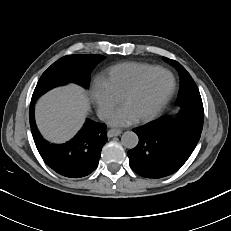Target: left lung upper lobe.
Masks as SVG:
<instances>
[{"label": "left lung upper lobe", "instance_id": "5c2ea615", "mask_svg": "<svg viewBox=\"0 0 231 231\" xmlns=\"http://www.w3.org/2000/svg\"><path fill=\"white\" fill-rule=\"evenodd\" d=\"M168 63L173 65L180 75V90L176 104L180 107L181 111L178 117H193L204 118V110L202 99L197 85L185 70V68L177 61L164 58ZM170 118V117H165Z\"/></svg>", "mask_w": 231, "mask_h": 231}]
</instances>
